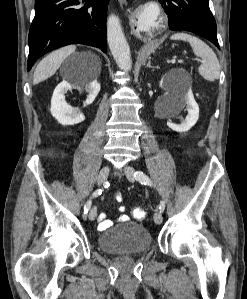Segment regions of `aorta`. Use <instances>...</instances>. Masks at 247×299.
I'll return each instance as SVG.
<instances>
[{"label": "aorta", "mask_w": 247, "mask_h": 299, "mask_svg": "<svg viewBox=\"0 0 247 299\" xmlns=\"http://www.w3.org/2000/svg\"><path fill=\"white\" fill-rule=\"evenodd\" d=\"M107 42L118 67L123 71H130L132 68L130 48L120 21L115 15L109 16L107 20Z\"/></svg>", "instance_id": "762f6f07"}]
</instances>
